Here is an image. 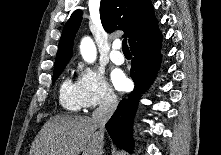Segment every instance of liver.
I'll return each mask as SVG.
<instances>
[{"instance_id": "1", "label": "liver", "mask_w": 221, "mask_h": 155, "mask_svg": "<svg viewBox=\"0 0 221 155\" xmlns=\"http://www.w3.org/2000/svg\"><path fill=\"white\" fill-rule=\"evenodd\" d=\"M98 155L97 126L88 116L56 115L32 142L30 155Z\"/></svg>"}]
</instances>
